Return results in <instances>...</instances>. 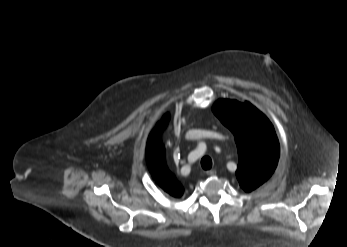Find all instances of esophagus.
I'll use <instances>...</instances> for the list:
<instances>
[{
  "label": "esophagus",
  "instance_id": "1",
  "mask_svg": "<svg viewBox=\"0 0 347 247\" xmlns=\"http://www.w3.org/2000/svg\"><path fill=\"white\" fill-rule=\"evenodd\" d=\"M206 174H207L208 176H214V175H216V170H214V169L208 170V171H206Z\"/></svg>",
  "mask_w": 347,
  "mask_h": 247
}]
</instances>
